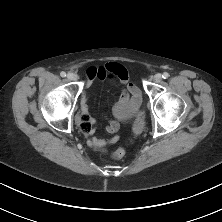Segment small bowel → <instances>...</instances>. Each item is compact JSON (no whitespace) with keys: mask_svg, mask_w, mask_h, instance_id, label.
Masks as SVG:
<instances>
[{"mask_svg":"<svg viewBox=\"0 0 222 222\" xmlns=\"http://www.w3.org/2000/svg\"><path fill=\"white\" fill-rule=\"evenodd\" d=\"M88 83L93 80H105L108 77H114L121 81L126 86V89L122 92L118 100L115 102L112 108L114 120L109 121L106 130L108 133L114 135L110 139L99 138L94 135V123L95 121L91 118V126L83 130L89 136V145L95 150H102L107 145L117 142L118 136L116 133L119 130V120L125 115L123 114V109L130 105L132 107H137L140 102V92L139 89L131 82H129L128 74L126 70L119 66L118 64L112 63L107 66H93L87 70ZM88 105L87 100L84 99L81 106V116H88Z\"/></svg>","mask_w":222,"mask_h":222,"instance_id":"c3829d8e","label":"small bowel"}]
</instances>
